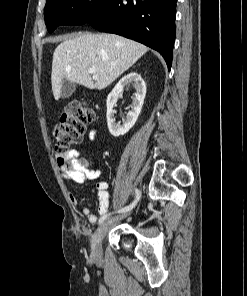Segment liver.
I'll return each mask as SVG.
<instances>
[{
  "label": "liver",
  "instance_id": "liver-1",
  "mask_svg": "<svg viewBox=\"0 0 247 296\" xmlns=\"http://www.w3.org/2000/svg\"><path fill=\"white\" fill-rule=\"evenodd\" d=\"M148 48L115 34L68 36L53 53L51 83L55 100L64 79L88 89L102 90L131 67ZM89 68H95L91 76Z\"/></svg>",
  "mask_w": 247,
  "mask_h": 296
}]
</instances>
